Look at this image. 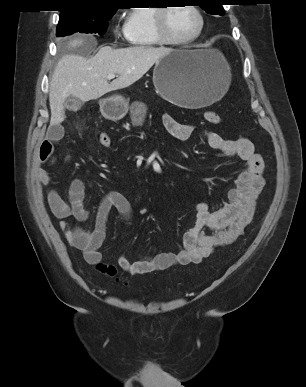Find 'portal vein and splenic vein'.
Here are the masks:
<instances>
[{"instance_id": "portal-vein-and-splenic-vein-1", "label": "portal vein and splenic vein", "mask_w": 306, "mask_h": 387, "mask_svg": "<svg viewBox=\"0 0 306 387\" xmlns=\"http://www.w3.org/2000/svg\"><path fill=\"white\" fill-rule=\"evenodd\" d=\"M113 78H115V74H109V75H107V79H113Z\"/></svg>"}]
</instances>
